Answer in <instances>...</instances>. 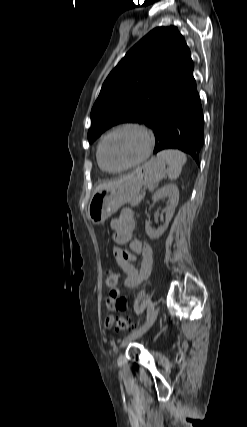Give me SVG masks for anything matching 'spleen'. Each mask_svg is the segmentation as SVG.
Wrapping results in <instances>:
<instances>
[{
    "label": "spleen",
    "instance_id": "3e777b00",
    "mask_svg": "<svg viewBox=\"0 0 247 427\" xmlns=\"http://www.w3.org/2000/svg\"><path fill=\"white\" fill-rule=\"evenodd\" d=\"M157 158L167 163V174L170 180H175L179 177L182 167L187 161V157L183 152L174 149L159 152Z\"/></svg>",
    "mask_w": 247,
    "mask_h": 427
}]
</instances>
